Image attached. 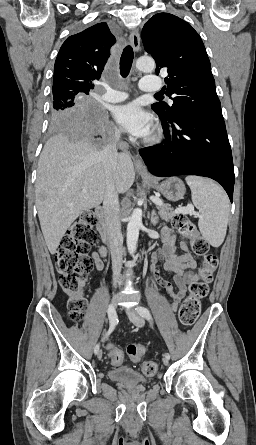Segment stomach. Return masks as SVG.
<instances>
[{
    "mask_svg": "<svg viewBox=\"0 0 256 445\" xmlns=\"http://www.w3.org/2000/svg\"><path fill=\"white\" fill-rule=\"evenodd\" d=\"M150 185L158 190L166 199L176 202L184 197L186 188L181 179L171 177L160 184L156 181H149Z\"/></svg>",
    "mask_w": 256,
    "mask_h": 445,
    "instance_id": "stomach-1",
    "label": "stomach"
}]
</instances>
